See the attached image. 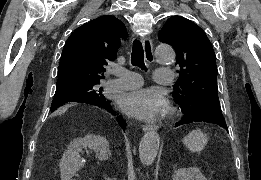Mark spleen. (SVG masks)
Segmentation results:
<instances>
[{
  "mask_svg": "<svg viewBox=\"0 0 261 180\" xmlns=\"http://www.w3.org/2000/svg\"><path fill=\"white\" fill-rule=\"evenodd\" d=\"M183 142L189 152H198L199 154V152L204 150L208 138H206V134H203L201 130H192L188 136H185Z\"/></svg>",
  "mask_w": 261,
  "mask_h": 180,
  "instance_id": "obj_1",
  "label": "spleen"
}]
</instances>
